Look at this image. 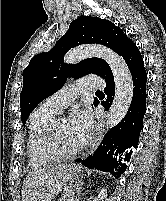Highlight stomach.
<instances>
[{
    "instance_id": "0dacf381",
    "label": "stomach",
    "mask_w": 166,
    "mask_h": 201,
    "mask_svg": "<svg viewBox=\"0 0 166 201\" xmlns=\"http://www.w3.org/2000/svg\"><path fill=\"white\" fill-rule=\"evenodd\" d=\"M78 168L74 165L60 167L44 184L39 188L34 201H51L64 186H69L75 180Z\"/></svg>"
}]
</instances>
